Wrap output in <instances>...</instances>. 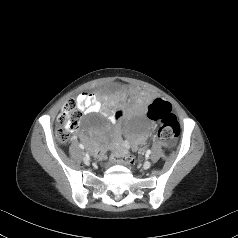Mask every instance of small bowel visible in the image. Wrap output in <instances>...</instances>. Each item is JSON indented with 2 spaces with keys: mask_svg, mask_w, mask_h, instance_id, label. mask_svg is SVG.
<instances>
[{
  "mask_svg": "<svg viewBox=\"0 0 238 238\" xmlns=\"http://www.w3.org/2000/svg\"><path fill=\"white\" fill-rule=\"evenodd\" d=\"M76 101L82 111L85 114L99 112L103 109L104 104H102L98 98L91 93H81L77 96ZM147 112V109H146ZM144 140V136L134 139L133 142L129 143L128 141H123L120 145V150H126L131 145H136Z\"/></svg>",
  "mask_w": 238,
  "mask_h": 238,
  "instance_id": "1",
  "label": "small bowel"
}]
</instances>
